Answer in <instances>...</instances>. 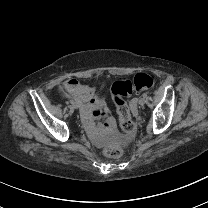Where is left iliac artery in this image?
<instances>
[{
	"label": "left iliac artery",
	"instance_id": "obj_1",
	"mask_svg": "<svg viewBox=\"0 0 208 208\" xmlns=\"http://www.w3.org/2000/svg\"><path fill=\"white\" fill-rule=\"evenodd\" d=\"M142 96H143L144 98H146V97H147V93H144Z\"/></svg>",
	"mask_w": 208,
	"mask_h": 208
}]
</instances>
